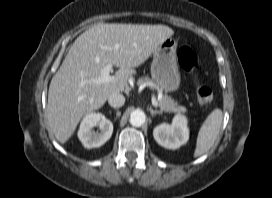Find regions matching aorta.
I'll return each instance as SVG.
<instances>
[{"label": "aorta", "mask_w": 272, "mask_h": 198, "mask_svg": "<svg viewBox=\"0 0 272 198\" xmlns=\"http://www.w3.org/2000/svg\"><path fill=\"white\" fill-rule=\"evenodd\" d=\"M146 119L145 113L142 110H134L130 114V123L132 126L140 127Z\"/></svg>", "instance_id": "obj_1"}]
</instances>
